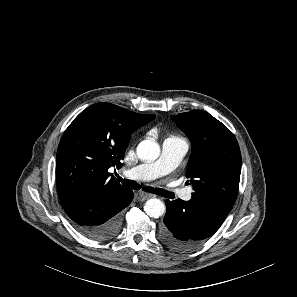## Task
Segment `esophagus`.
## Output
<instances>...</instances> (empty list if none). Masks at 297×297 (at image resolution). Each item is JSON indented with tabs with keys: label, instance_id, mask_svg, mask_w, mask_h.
<instances>
[{
	"label": "esophagus",
	"instance_id": "esophagus-1",
	"mask_svg": "<svg viewBox=\"0 0 297 297\" xmlns=\"http://www.w3.org/2000/svg\"><path fill=\"white\" fill-rule=\"evenodd\" d=\"M153 195L152 194H149V193H145V192H142V191H139L136 193L135 195V198L138 200V201H145L149 198H152Z\"/></svg>",
	"mask_w": 297,
	"mask_h": 297
}]
</instances>
